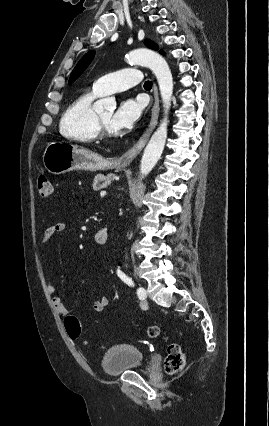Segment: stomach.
<instances>
[{
	"label": "stomach",
	"mask_w": 269,
	"mask_h": 426,
	"mask_svg": "<svg viewBox=\"0 0 269 426\" xmlns=\"http://www.w3.org/2000/svg\"><path fill=\"white\" fill-rule=\"evenodd\" d=\"M43 165L49 173L54 175L73 170L98 171L124 166L119 161L105 159L77 145L58 141L50 142L46 146Z\"/></svg>",
	"instance_id": "obj_1"
}]
</instances>
